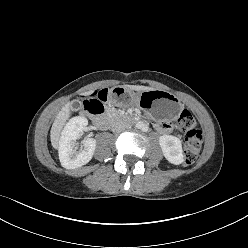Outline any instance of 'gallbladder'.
<instances>
[{"label": "gallbladder", "mask_w": 248, "mask_h": 248, "mask_svg": "<svg viewBox=\"0 0 248 248\" xmlns=\"http://www.w3.org/2000/svg\"><path fill=\"white\" fill-rule=\"evenodd\" d=\"M72 106L75 108V109H80L81 107V102L79 100H74L72 101Z\"/></svg>", "instance_id": "1"}]
</instances>
